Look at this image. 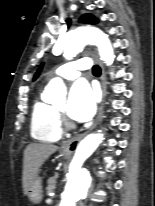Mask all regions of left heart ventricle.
I'll list each match as a JSON object with an SVG mask.
<instances>
[{
  "mask_svg": "<svg viewBox=\"0 0 155 206\" xmlns=\"http://www.w3.org/2000/svg\"><path fill=\"white\" fill-rule=\"evenodd\" d=\"M64 107H65V104H61L58 106V108H60V109H64Z\"/></svg>",
  "mask_w": 155,
  "mask_h": 206,
  "instance_id": "b2bd125f",
  "label": "left heart ventricle"
}]
</instances>
